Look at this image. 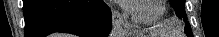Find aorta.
Wrapping results in <instances>:
<instances>
[{"label":"aorta","mask_w":219,"mask_h":37,"mask_svg":"<svg viewBox=\"0 0 219 37\" xmlns=\"http://www.w3.org/2000/svg\"><path fill=\"white\" fill-rule=\"evenodd\" d=\"M125 31L122 26H114L110 33V37H124Z\"/></svg>","instance_id":"762f6f07"}]
</instances>
